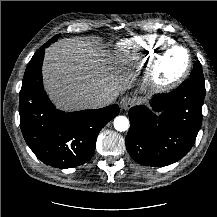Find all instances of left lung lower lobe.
Wrapping results in <instances>:
<instances>
[{"mask_svg":"<svg viewBox=\"0 0 217 217\" xmlns=\"http://www.w3.org/2000/svg\"><path fill=\"white\" fill-rule=\"evenodd\" d=\"M204 97L205 87L188 79L170 93L155 95L150 109L132 107L125 139L130 156L148 166H167L183 158L200 130Z\"/></svg>","mask_w":217,"mask_h":217,"instance_id":"0a47b994","label":"left lung lower lobe"}]
</instances>
